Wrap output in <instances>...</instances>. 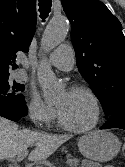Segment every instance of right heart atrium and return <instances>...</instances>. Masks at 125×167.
I'll use <instances>...</instances> for the list:
<instances>
[{"mask_svg": "<svg viewBox=\"0 0 125 167\" xmlns=\"http://www.w3.org/2000/svg\"><path fill=\"white\" fill-rule=\"evenodd\" d=\"M27 112L31 120L37 125H50L56 118V111L47 105L37 92L31 90L27 95Z\"/></svg>", "mask_w": 125, "mask_h": 167, "instance_id": "right-heart-atrium-1", "label": "right heart atrium"}]
</instances>
